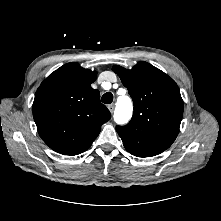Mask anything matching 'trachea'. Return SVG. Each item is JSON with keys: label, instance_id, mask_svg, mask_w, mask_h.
<instances>
[{"label": "trachea", "instance_id": "1", "mask_svg": "<svg viewBox=\"0 0 221 221\" xmlns=\"http://www.w3.org/2000/svg\"><path fill=\"white\" fill-rule=\"evenodd\" d=\"M101 100L105 104H110L113 101V94L111 92H106L105 94H103Z\"/></svg>", "mask_w": 221, "mask_h": 221}]
</instances>
